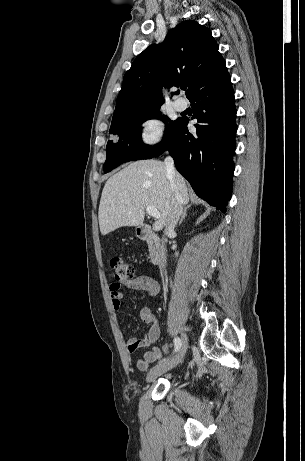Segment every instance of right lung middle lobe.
Listing matches in <instances>:
<instances>
[{
	"instance_id": "1",
	"label": "right lung middle lobe",
	"mask_w": 305,
	"mask_h": 461,
	"mask_svg": "<svg viewBox=\"0 0 305 461\" xmlns=\"http://www.w3.org/2000/svg\"><path fill=\"white\" fill-rule=\"evenodd\" d=\"M149 119H161L164 123L169 120L168 117L161 116L159 108H157L123 119L110 128V133L119 135V140L116 143L113 141L107 143V159L103 167L105 173L124 162L151 158L163 147L179 121V119L169 121L163 141L155 146H147L142 142L140 129L141 124Z\"/></svg>"
}]
</instances>
